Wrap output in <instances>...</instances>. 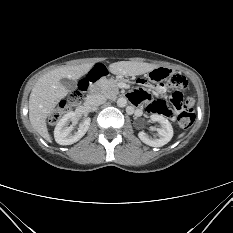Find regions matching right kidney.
I'll return each instance as SVG.
<instances>
[{
  "label": "right kidney",
  "instance_id": "right-kidney-1",
  "mask_svg": "<svg viewBox=\"0 0 233 233\" xmlns=\"http://www.w3.org/2000/svg\"><path fill=\"white\" fill-rule=\"evenodd\" d=\"M76 113L71 111L65 114L60 121L57 123L54 130L55 141L60 145H71L79 141L88 131L91 119L89 117L85 118L80 124L78 131L74 134L71 133L73 126H68V122L76 121Z\"/></svg>",
  "mask_w": 233,
  "mask_h": 233
}]
</instances>
